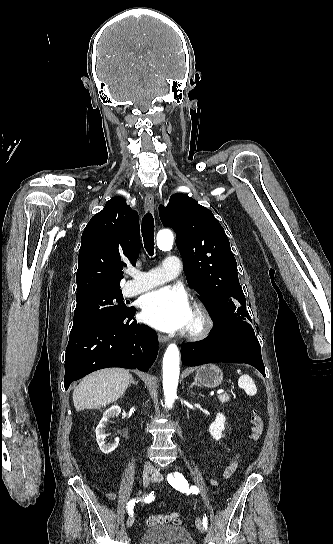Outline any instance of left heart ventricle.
Segmentation results:
<instances>
[{
    "label": "left heart ventricle",
    "mask_w": 333,
    "mask_h": 544,
    "mask_svg": "<svg viewBox=\"0 0 333 544\" xmlns=\"http://www.w3.org/2000/svg\"><path fill=\"white\" fill-rule=\"evenodd\" d=\"M194 321H195V318H194V315H193V313H192V317H191L189 326L193 325Z\"/></svg>",
    "instance_id": "b2bd125f"
}]
</instances>
